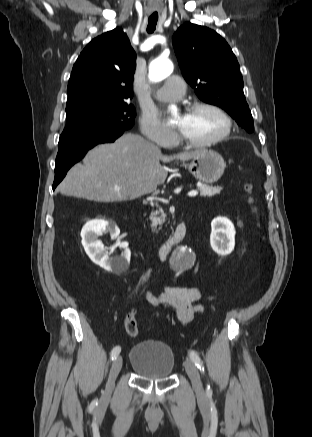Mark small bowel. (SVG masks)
Here are the masks:
<instances>
[{
    "label": "small bowel",
    "instance_id": "small-bowel-1",
    "mask_svg": "<svg viewBox=\"0 0 312 437\" xmlns=\"http://www.w3.org/2000/svg\"><path fill=\"white\" fill-rule=\"evenodd\" d=\"M199 298L200 291L194 287L172 286L160 292L146 293L150 304L164 307L183 325L190 323L197 313L203 311V307L196 304Z\"/></svg>",
    "mask_w": 312,
    "mask_h": 437
}]
</instances>
